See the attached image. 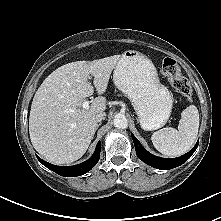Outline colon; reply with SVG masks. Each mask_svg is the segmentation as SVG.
I'll use <instances>...</instances> for the list:
<instances>
[{
    "instance_id": "colon-1",
    "label": "colon",
    "mask_w": 221,
    "mask_h": 221,
    "mask_svg": "<svg viewBox=\"0 0 221 221\" xmlns=\"http://www.w3.org/2000/svg\"><path fill=\"white\" fill-rule=\"evenodd\" d=\"M162 74L169 80L172 87L186 100L192 98V88L187 79L181 74L180 67L173 58H165L161 66Z\"/></svg>"
}]
</instances>
